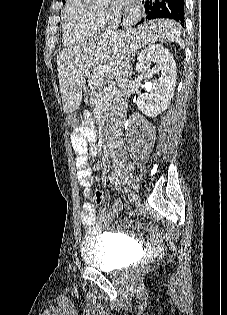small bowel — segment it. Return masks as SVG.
Returning <instances> with one entry per match:
<instances>
[{
  "label": "small bowel",
  "instance_id": "obj_1",
  "mask_svg": "<svg viewBox=\"0 0 227 315\" xmlns=\"http://www.w3.org/2000/svg\"><path fill=\"white\" fill-rule=\"evenodd\" d=\"M70 140L75 155L78 181L85 188V196L89 198L90 187L92 185L90 159L97 157V150L94 146L96 136L90 127L88 116L85 118L83 124L72 132ZM122 207L123 203L121 201H114L111 209L106 213V219H114ZM81 225L84 232L89 235H96L101 230V224L96 216L94 206L90 202H85L82 206ZM139 226L143 228L142 223H139Z\"/></svg>",
  "mask_w": 227,
  "mask_h": 315
}]
</instances>
